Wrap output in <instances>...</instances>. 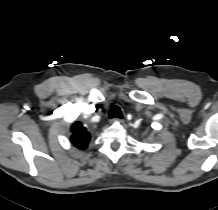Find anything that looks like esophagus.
Masks as SVG:
<instances>
[{"label":"esophagus","mask_w":218,"mask_h":210,"mask_svg":"<svg viewBox=\"0 0 218 210\" xmlns=\"http://www.w3.org/2000/svg\"><path fill=\"white\" fill-rule=\"evenodd\" d=\"M113 122H119V123H122V122H123V120H122V119H120V118H115V119H113Z\"/></svg>","instance_id":"1"}]
</instances>
